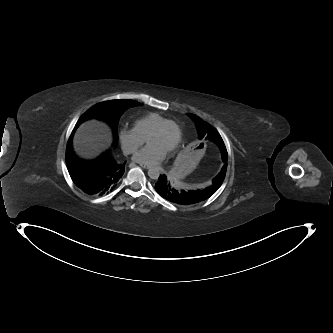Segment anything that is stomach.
I'll use <instances>...</instances> for the list:
<instances>
[{
    "label": "stomach",
    "mask_w": 333,
    "mask_h": 333,
    "mask_svg": "<svg viewBox=\"0 0 333 333\" xmlns=\"http://www.w3.org/2000/svg\"><path fill=\"white\" fill-rule=\"evenodd\" d=\"M196 142L189 143L185 150L176 158L175 164L169 169L170 176L175 180H180L188 174L195 173L199 168V163L207 157L205 147Z\"/></svg>",
    "instance_id": "stomach-1"
}]
</instances>
